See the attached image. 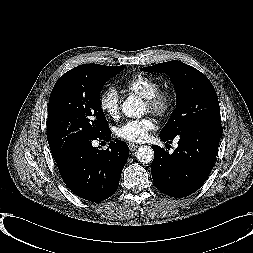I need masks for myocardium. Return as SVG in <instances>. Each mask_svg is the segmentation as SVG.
<instances>
[{
    "instance_id": "obj_1",
    "label": "myocardium",
    "mask_w": 253,
    "mask_h": 253,
    "mask_svg": "<svg viewBox=\"0 0 253 253\" xmlns=\"http://www.w3.org/2000/svg\"><path fill=\"white\" fill-rule=\"evenodd\" d=\"M173 96L168 91H158L153 96L145 99L147 110L157 117L165 116L173 105Z\"/></svg>"
}]
</instances>
